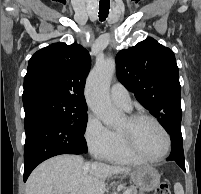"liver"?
Returning <instances> with one entry per match:
<instances>
[{"label":"liver","mask_w":201,"mask_h":194,"mask_svg":"<svg viewBox=\"0 0 201 194\" xmlns=\"http://www.w3.org/2000/svg\"><path fill=\"white\" fill-rule=\"evenodd\" d=\"M132 169L84 162L78 155H60L40 164L26 182V194H103L106 180Z\"/></svg>","instance_id":"obj_1"}]
</instances>
